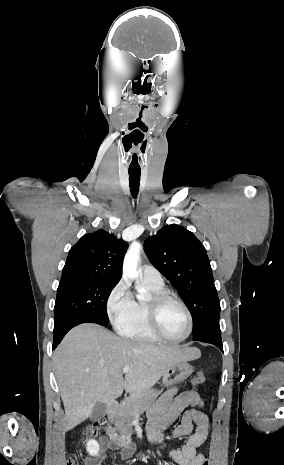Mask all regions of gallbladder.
Segmentation results:
<instances>
[{"label": "gallbladder", "mask_w": 284, "mask_h": 465, "mask_svg": "<svg viewBox=\"0 0 284 465\" xmlns=\"http://www.w3.org/2000/svg\"><path fill=\"white\" fill-rule=\"evenodd\" d=\"M106 411H107V407L105 403H96L90 415V421H97V423H100L101 419L105 417Z\"/></svg>", "instance_id": "bac80fb5"}]
</instances>
